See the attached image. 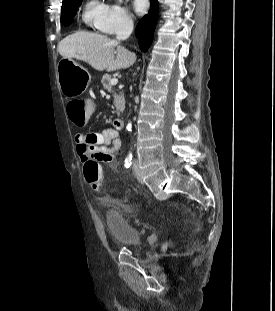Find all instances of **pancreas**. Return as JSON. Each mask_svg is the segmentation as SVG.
<instances>
[{"label":"pancreas","instance_id":"1","mask_svg":"<svg viewBox=\"0 0 275 311\" xmlns=\"http://www.w3.org/2000/svg\"><path fill=\"white\" fill-rule=\"evenodd\" d=\"M111 80H112L111 75L105 74L102 77L101 83H102V85H103L105 90H107L110 93H113L114 105L116 107L117 113L119 114L125 108L124 94L122 92L120 94H116V93L113 92L112 86L110 84Z\"/></svg>","mask_w":275,"mask_h":311}]
</instances>
